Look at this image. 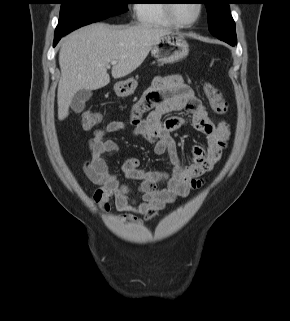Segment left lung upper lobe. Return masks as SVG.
<instances>
[{"instance_id":"1","label":"left lung upper lobe","mask_w":290,"mask_h":321,"mask_svg":"<svg viewBox=\"0 0 290 321\" xmlns=\"http://www.w3.org/2000/svg\"><path fill=\"white\" fill-rule=\"evenodd\" d=\"M208 12L209 30L216 37L235 35V23L230 13L231 0H203Z\"/></svg>"}]
</instances>
